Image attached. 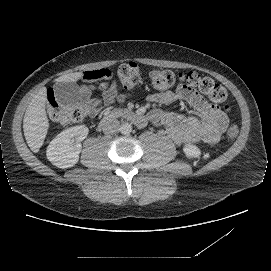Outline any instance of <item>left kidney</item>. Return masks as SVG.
Returning <instances> with one entry per match:
<instances>
[{
  "mask_svg": "<svg viewBox=\"0 0 271 271\" xmlns=\"http://www.w3.org/2000/svg\"><path fill=\"white\" fill-rule=\"evenodd\" d=\"M184 150L188 157H194L199 155V150L195 146L188 145L185 147Z\"/></svg>",
  "mask_w": 271,
  "mask_h": 271,
  "instance_id": "1",
  "label": "left kidney"
}]
</instances>
